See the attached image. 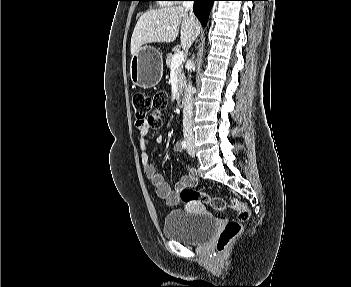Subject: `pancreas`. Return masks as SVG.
Listing matches in <instances>:
<instances>
[{"label": "pancreas", "instance_id": "obj_1", "mask_svg": "<svg viewBox=\"0 0 351 287\" xmlns=\"http://www.w3.org/2000/svg\"><path fill=\"white\" fill-rule=\"evenodd\" d=\"M173 54L169 53L167 54L166 57V65L168 68H171V62H172V58H173ZM176 75H177V79H178V89L179 91L182 89L183 84H184V74L182 73V66L180 65L179 67L176 68Z\"/></svg>", "mask_w": 351, "mask_h": 287}]
</instances>
